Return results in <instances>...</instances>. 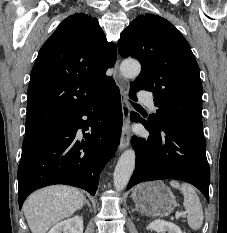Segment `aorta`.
Listing matches in <instances>:
<instances>
[{"label":"aorta","instance_id":"obj_1","mask_svg":"<svg viewBox=\"0 0 227 233\" xmlns=\"http://www.w3.org/2000/svg\"><path fill=\"white\" fill-rule=\"evenodd\" d=\"M141 65L136 60H125L120 65V72L126 78H134L139 75ZM135 152L132 149L126 150L119 158L114 170L113 183L117 191L123 190L135 168Z\"/></svg>","mask_w":227,"mask_h":233}]
</instances>
